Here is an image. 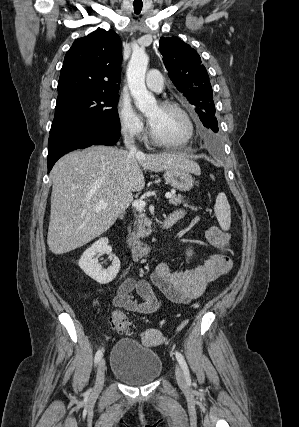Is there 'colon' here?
Masks as SVG:
<instances>
[{"label":"colon","mask_w":299,"mask_h":427,"mask_svg":"<svg viewBox=\"0 0 299 427\" xmlns=\"http://www.w3.org/2000/svg\"><path fill=\"white\" fill-rule=\"evenodd\" d=\"M112 323L114 328L121 333L133 335L135 333L134 325L128 320V318L122 312H114L112 316Z\"/></svg>","instance_id":"1"}]
</instances>
